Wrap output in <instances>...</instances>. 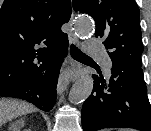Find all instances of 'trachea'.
Masks as SVG:
<instances>
[{"instance_id": "obj_1", "label": "trachea", "mask_w": 151, "mask_h": 131, "mask_svg": "<svg viewBox=\"0 0 151 131\" xmlns=\"http://www.w3.org/2000/svg\"><path fill=\"white\" fill-rule=\"evenodd\" d=\"M70 54L72 55V57L75 58H90L88 55L84 54L73 44L70 46Z\"/></svg>"}]
</instances>
